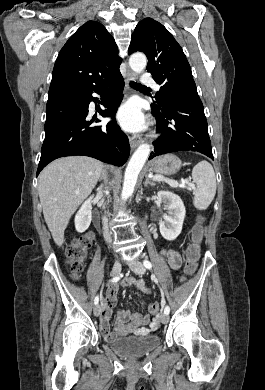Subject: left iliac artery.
I'll return each mask as SVG.
<instances>
[{"mask_svg":"<svg viewBox=\"0 0 265 390\" xmlns=\"http://www.w3.org/2000/svg\"><path fill=\"white\" fill-rule=\"evenodd\" d=\"M143 264H144V266H145L147 269H151V268H152V264H151V262L148 261V260H144V261H143ZM155 282H156V281H155ZM169 312H170V308H169V306H166L165 309H164V313L169 314Z\"/></svg>","mask_w":265,"mask_h":390,"instance_id":"obj_1","label":"left iliac artery"}]
</instances>
